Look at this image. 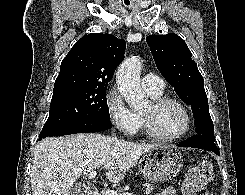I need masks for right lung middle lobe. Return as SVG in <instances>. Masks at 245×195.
<instances>
[{"label":"right lung middle lobe","instance_id":"dd1d6c3e","mask_svg":"<svg viewBox=\"0 0 245 195\" xmlns=\"http://www.w3.org/2000/svg\"><path fill=\"white\" fill-rule=\"evenodd\" d=\"M105 90L94 87L53 92L50 114L39 137L45 138L89 119H110Z\"/></svg>","mask_w":245,"mask_h":195}]
</instances>
